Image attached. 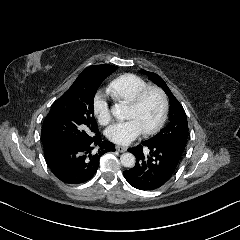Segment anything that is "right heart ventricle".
Listing matches in <instances>:
<instances>
[{"label":"right heart ventricle","instance_id":"obj_1","mask_svg":"<svg viewBox=\"0 0 240 240\" xmlns=\"http://www.w3.org/2000/svg\"><path fill=\"white\" fill-rule=\"evenodd\" d=\"M148 86V83L138 75L123 74L112 80L107 88V94L119 105H128L137 92Z\"/></svg>","mask_w":240,"mask_h":240}]
</instances>
